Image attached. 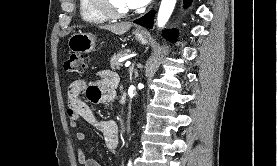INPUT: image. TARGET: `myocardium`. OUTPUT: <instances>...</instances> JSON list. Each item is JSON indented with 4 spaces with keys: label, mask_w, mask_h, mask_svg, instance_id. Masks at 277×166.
I'll return each instance as SVG.
<instances>
[{
    "label": "myocardium",
    "mask_w": 277,
    "mask_h": 166,
    "mask_svg": "<svg viewBox=\"0 0 277 166\" xmlns=\"http://www.w3.org/2000/svg\"><path fill=\"white\" fill-rule=\"evenodd\" d=\"M91 7L107 19L118 20L131 15V11H118L113 8L109 0H89Z\"/></svg>",
    "instance_id": "f54148a6"
}]
</instances>
